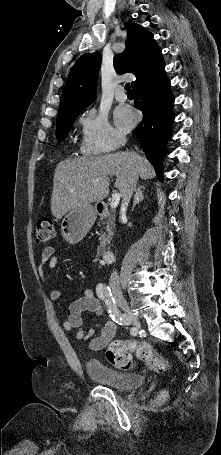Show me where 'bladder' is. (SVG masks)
I'll list each match as a JSON object with an SVG mask.
<instances>
[{"instance_id":"obj_1","label":"bladder","mask_w":221,"mask_h":455,"mask_svg":"<svg viewBox=\"0 0 221 455\" xmlns=\"http://www.w3.org/2000/svg\"><path fill=\"white\" fill-rule=\"evenodd\" d=\"M86 371L92 379L100 384L119 391L137 389L143 384L141 375L118 371L95 359L87 360Z\"/></svg>"}]
</instances>
